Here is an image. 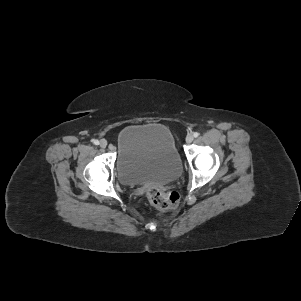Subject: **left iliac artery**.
Returning a JSON list of instances; mask_svg holds the SVG:
<instances>
[{"label":"left iliac artery","mask_w":301,"mask_h":301,"mask_svg":"<svg viewBox=\"0 0 301 301\" xmlns=\"http://www.w3.org/2000/svg\"><path fill=\"white\" fill-rule=\"evenodd\" d=\"M193 136L196 138L199 136V133L198 132H194Z\"/></svg>","instance_id":"1"}]
</instances>
